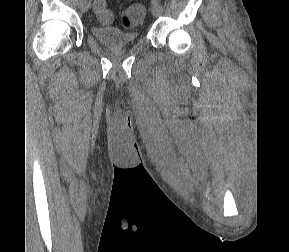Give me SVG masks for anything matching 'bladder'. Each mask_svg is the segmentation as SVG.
<instances>
[{
	"instance_id": "1",
	"label": "bladder",
	"mask_w": 289,
	"mask_h": 252,
	"mask_svg": "<svg viewBox=\"0 0 289 252\" xmlns=\"http://www.w3.org/2000/svg\"><path fill=\"white\" fill-rule=\"evenodd\" d=\"M95 38L108 47H121L134 44L139 39L137 31H123L111 26H93Z\"/></svg>"
}]
</instances>
